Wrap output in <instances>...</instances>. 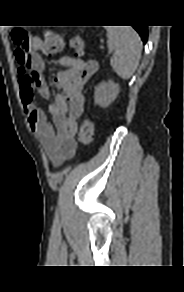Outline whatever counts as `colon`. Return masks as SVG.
<instances>
[{"mask_svg":"<svg viewBox=\"0 0 184 292\" xmlns=\"http://www.w3.org/2000/svg\"><path fill=\"white\" fill-rule=\"evenodd\" d=\"M12 40L16 45L17 53L20 57H25L28 45L29 35L24 29H14L11 33ZM65 44L64 36L52 29H45L43 31V40L41 50L47 56H52L60 53ZM71 46L76 51L77 55H82L84 42L81 37L75 36L70 42ZM94 135V124L89 118L82 120L79 129V141L82 144H89Z\"/></svg>","mask_w":184,"mask_h":292,"instance_id":"obj_1","label":"colon"}]
</instances>
